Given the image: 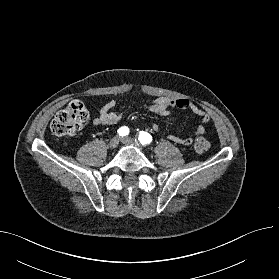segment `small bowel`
<instances>
[{
    "mask_svg": "<svg viewBox=\"0 0 279 279\" xmlns=\"http://www.w3.org/2000/svg\"><path fill=\"white\" fill-rule=\"evenodd\" d=\"M114 106V100L107 101L100 109L98 115L93 119V124L95 126L116 125L122 119V114L113 111ZM144 107L149 112L156 115H168L170 113V109L172 108L185 109L189 110L200 118L201 122L196 129L194 137L182 138L174 135L168 136L171 141L181 146H189L193 143L195 138L202 136L205 131L204 125L209 121L210 118L206 111L198 107L192 101L184 98L158 97L146 102ZM152 129L157 131L159 129L158 124H153Z\"/></svg>",
    "mask_w": 279,
    "mask_h": 279,
    "instance_id": "c3829d8e",
    "label": "small bowel"
}]
</instances>
